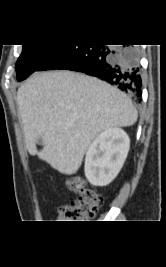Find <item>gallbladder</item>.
Listing matches in <instances>:
<instances>
[{
  "label": "gallbladder",
  "instance_id": "obj_1",
  "mask_svg": "<svg viewBox=\"0 0 166 267\" xmlns=\"http://www.w3.org/2000/svg\"><path fill=\"white\" fill-rule=\"evenodd\" d=\"M37 143H38L39 145H42V144H43V140H42V138H38Z\"/></svg>",
  "mask_w": 166,
  "mask_h": 267
}]
</instances>
